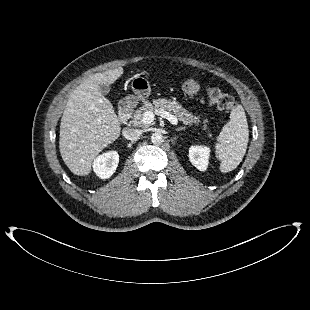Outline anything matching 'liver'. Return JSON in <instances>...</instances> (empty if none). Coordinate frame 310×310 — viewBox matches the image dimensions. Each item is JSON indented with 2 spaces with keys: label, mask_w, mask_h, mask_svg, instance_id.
Returning a JSON list of instances; mask_svg holds the SVG:
<instances>
[{
  "label": "liver",
  "mask_w": 310,
  "mask_h": 310,
  "mask_svg": "<svg viewBox=\"0 0 310 310\" xmlns=\"http://www.w3.org/2000/svg\"><path fill=\"white\" fill-rule=\"evenodd\" d=\"M122 74V67L95 73L69 95L61 118L59 150L75 175H88L99 153L120 136V121L99 85L113 84Z\"/></svg>",
  "instance_id": "obj_1"
}]
</instances>
